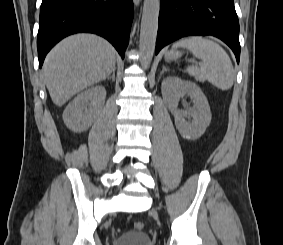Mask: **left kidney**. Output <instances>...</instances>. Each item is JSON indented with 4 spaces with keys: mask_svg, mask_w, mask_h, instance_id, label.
I'll use <instances>...</instances> for the list:
<instances>
[{
    "mask_svg": "<svg viewBox=\"0 0 283 245\" xmlns=\"http://www.w3.org/2000/svg\"><path fill=\"white\" fill-rule=\"evenodd\" d=\"M188 95L193 101L192 119L186 121V113L178 109L181 96ZM163 98L173 113L179 133L186 139L196 140L202 136L211 122V111L206 96L190 81L167 77L162 82Z\"/></svg>",
    "mask_w": 283,
    "mask_h": 245,
    "instance_id": "obj_1",
    "label": "left kidney"
}]
</instances>
